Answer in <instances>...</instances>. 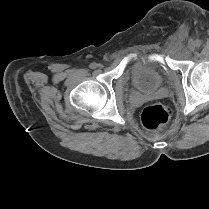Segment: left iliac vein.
<instances>
[{
	"mask_svg": "<svg viewBox=\"0 0 209 209\" xmlns=\"http://www.w3.org/2000/svg\"><path fill=\"white\" fill-rule=\"evenodd\" d=\"M189 49L192 51L195 49V43L194 42H190L189 43Z\"/></svg>",
	"mask_w": 209,
	"mask_h": 209,
	"instance_id": "1",
	"label": "left iliac vein"
}]
</instances>
